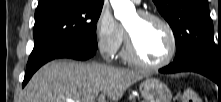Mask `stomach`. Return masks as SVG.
Listing matches in <instances>:
<instances>
[{"mask_svg": "<svg viewBox=\"0 0 221 102\" xmlns=\"http://www.w3.org/2000/svg\"><path fill=\"white\" fill-rule=\"evenodd\" d=\"M145 102H171L172 92L166 84L158 79L148 78L139 86Z\"/></svg>", "mask_w": 221, "mask_h": 102, "instance_id": "0dacf381", "label": "stomach"}]
</instances>
